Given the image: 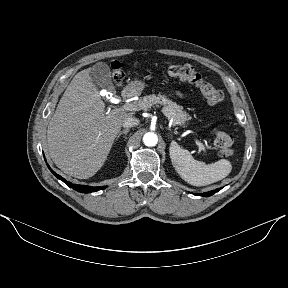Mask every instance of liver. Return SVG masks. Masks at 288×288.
I'll return each instance as SVG.
<instances>
[{
    "mask_svg": "<svg viewBox=\"0 0 288 288\" xmlns=\"http://www.w3.org/2000/svg\"><path fill=\"white\" fill-rule=\"evenodd\" d=\"M90 70L74 76L47 129L51 159L64 173L79 179L90 178L101 169L123 122L134 114L105 113Z\"/></svg>",
    "mask_w": 288,
    "mask_h": 288,
    "instance_id": "6515ba94",
    "label": "liver"
}]
</instances>
